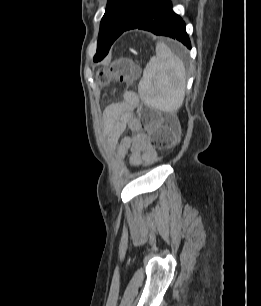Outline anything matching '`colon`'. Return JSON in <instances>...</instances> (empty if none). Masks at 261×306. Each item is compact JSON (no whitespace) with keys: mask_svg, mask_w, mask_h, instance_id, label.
<instances>
[{"mask_svg":"<svg viewBox=\"0 0 261 306\" xmlns=\"http://www.w3.org/2000/svg\"><path fill=\"white\" fill-rule=\"evenodd\" d=\"M138 75L135 64L128 58H119L112 62L108 69L99 71L101 81L119 80L121 83L130 84ZM142 123L149 129L152 145L159 149L169 148L173 145L175 137L171 124H162L155 113L144 112Z\"/></svg>","mask_w":261,"mask_h":306,"instance_id":"obj_1","label":"colon"}]
</instances>
